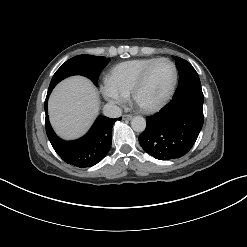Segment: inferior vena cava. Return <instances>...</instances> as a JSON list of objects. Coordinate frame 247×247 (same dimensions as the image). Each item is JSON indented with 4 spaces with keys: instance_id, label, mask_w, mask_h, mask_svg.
Returning a JSON list of instances; mask_svg holds the SVG:
<instances>
[{
    "instance_id": "inferior-vena-cava-1",
    "label": "inferior vena cava",
    "mask_w": 247,
    "mask_h": 247,
    "mask_svg": "<svg viewBox=\"0 0 247 247\" xmlns=\"http://www.w3.org/2000/svg\"><path fill=\"white\" fill-rule=\"evenodd\" d=\"M103 113L105 116L110 118H117L122 115V110L120 107L114 105V104H106L103 107Z\"/></svg>"
}]
</instances>
